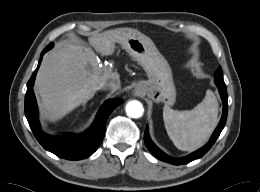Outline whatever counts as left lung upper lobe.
I'll return each instance as SVG.
<instances>
[{
	"instance_id": "1",
	"label": "left lung upper lobe",
	"mask_w": 260,
	"mask_h": 192,
	"mask_svg": "<svg viewBox=\"0 0 260 192\" xmlns=\"http://www.w3.org/2000/svg\"><path fill=\"white\" fill-rule=\"evenodd\" d=\"M215 80H223L222 68L219 67L215 72Z\"/></svg>"
}]
</instances>
